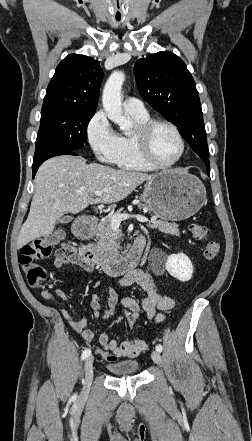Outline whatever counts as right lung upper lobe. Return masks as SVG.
Listing matches in <instances>:
<instances>
[{"instance_id": "right-lung-upper-lobe-1", "label": "right lung upper lobe", "mask_w": 252, "mask_h": 441, "mask_svg": "<svg viewBox=\"0 0 252 441\" xmlns=\"http://www.w3.org/2000/svg\"><path fill=\"white\" fill-rule=\"evenodd\" d=\"M99 63L85 55H68L55 70L42 110L62 108L95 112L103 79Z\"/></svg>"}]
</instances>
